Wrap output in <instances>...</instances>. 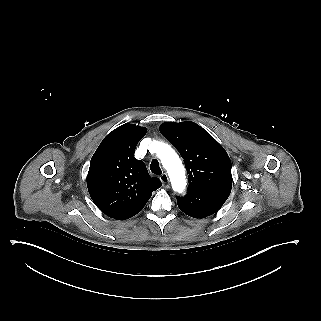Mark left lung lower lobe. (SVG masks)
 <instances>
[{"mask_svg": "<svg viewBox=\"0 0 321 321\" xmlns=\"http://www.w3.org/2000/svg\"><path fill=\"white\" fill-rule=\"evenodd\" d=\"M230 187L188 189L184 197H177L179 209L194 218H205L216 213L227 200Z\"/></svg>", "mask_w": 321, "mask_h": 321, "instance_id": "0a47b994", "label": "left lung lower lobe"}]
</instances>
